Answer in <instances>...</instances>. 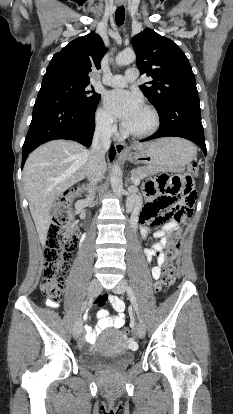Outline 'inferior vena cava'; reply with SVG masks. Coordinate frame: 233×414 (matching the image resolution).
<instances>
[{"instance_id": "1", "label": "inferior vena cava", "mask_w": 233, "mask_h": 414, "mask_svg": "<svg viewBox=\"0 0 233 414\" xmlns=\"http://www.w3.org/2000/svg\"><path fill=\"white\" fill-rule=\"evenodd\" d=\"M111 121L99 124L94 132L91 150L87 162V177L90 182L89 197L95 196V186L106 172L105 153L110 148Z\"/></svg>"}]
</instances>
